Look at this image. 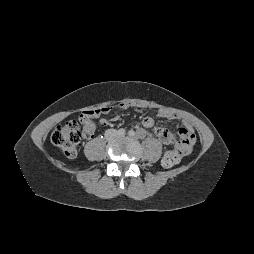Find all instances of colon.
<instances>
[{
    "mask_svg": "<svg viewBox=\"0 0 254 254\" xmlns=\"http://www.w3.org/2000/svg\"><path fill=\"white\" fill-rule=\"evenodd\" d=\"M103 111H87L80 116L79 120L70 119L64 124L58 125L52 135V143L60 148L69 158H74L81 146L83 138H90L95 131L93 116ZM181 155L176 150L168 151L163 159L164 164L174 166L179 163Z\"/></svg>",
    "mask_w": 254,
    "mask_h": 254,
    "instance_id": "colon-1",
    "label": "colon"
}]
</instances>
